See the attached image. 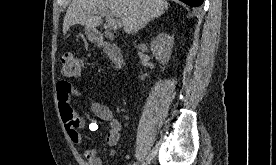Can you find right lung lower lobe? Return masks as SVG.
<instances>
[{
  "label": "right lung lower lobe",
  "instance_id": "right-lung-lower-lobe-1",
  "mask_svg": "<svg viewBox=\"0 0 276 165\" xmlns=\"http://www.w3.org/2000/svg\"><path fill=\"white\" fill-rule=\"evenodd\" d=\"M181 1L186 3L187 5H189L191 7L200 6L203 2V0H181Z\"/></svg>",
  "mask_w": 276,
  "mask_h": 165
}]
</instances>
